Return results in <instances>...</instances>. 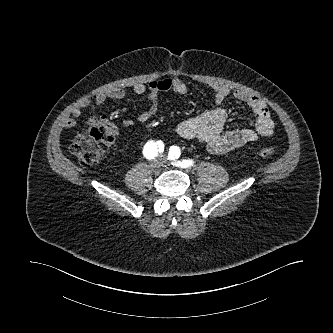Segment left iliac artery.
I'll list each match as a JSON object with an SVG mask.
<instances>
[{"label": "left iliac artery", "mask_w": 333, "mask_h": 333, "mask_svg": "<svg viewBox=\"0 0 333 333\" xmlns=\"http://www.w3.org/2000/svg\"><path fill=\"white\" fill-rule=\"evenodd\" d=\"M180 149L177 146H171L168 152V158L170 160H172L174 163H172L173 165L176 166H181V167H189L193 165V161L192 160H182V161H178L176 162V159H178L180 157Z\"/></svg>", "instance_id": "44dca946"}]
</instances>
